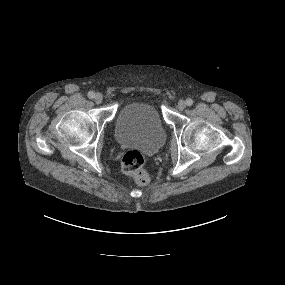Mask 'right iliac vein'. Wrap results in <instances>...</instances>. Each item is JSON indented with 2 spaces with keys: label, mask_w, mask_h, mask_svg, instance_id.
<instances>
[{
  "label": "right iliac vein",
  "mask_w": 285,
  "mask_h": 285,
  "mask_svg": "<svg viewBox=\"0 0 285 285\" xmlns=\"http://www.w3.org/2000/svg\"><path fill=\"white\" fill-rule=\"evenodd\" d=\"M94 101L97 103V104H100L102 101H103V96L101 93H97L95 96H94Z\"/></svg>",
  "instance_id": "right-iliac-vein-1"
}]
</instances>
